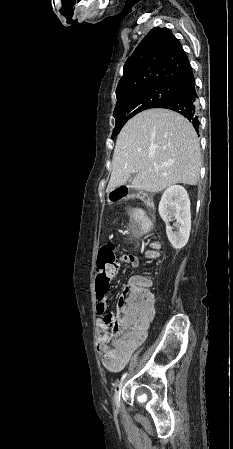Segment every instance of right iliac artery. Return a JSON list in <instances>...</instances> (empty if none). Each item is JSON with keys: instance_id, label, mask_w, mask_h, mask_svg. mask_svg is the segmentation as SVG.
Masks as SVG:
<instances>
[{"instance_id": "1", "label": "right iliac artery", "mask_w": 233, "mask_h": 449, "mask_svg": "<svg viewBox=\"0 0 233 449\" xmlns=\"http://www.w3.org/2000/svg\"><path fill=\"white\" fill-rule=\"evenodd\" d=\"M126 376H127V373H124V374L122 375L121 381H123V379H124Z\"/></svg>"}]
</instances>
